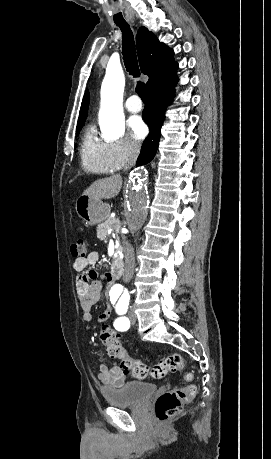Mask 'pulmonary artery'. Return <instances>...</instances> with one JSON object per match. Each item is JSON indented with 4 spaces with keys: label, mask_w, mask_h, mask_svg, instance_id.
I'll list each match as a JSON object with an SVG mask.
<instances>
[{
    "label": "pulmonary artery",
    "mask_w": 271,
    "mask_h": 459,
    "mask_svg": "<svg viewBox=\"0 0 271 459\" xmlns=\"http://www.w3.org/2000/svg\"><path fill=\"white\" fill-rule=\"evenodd\" d=\"M125 107L131 113H139L143 109V104L137 95H133L127 100Z\"/></svg>",
    "instance_id": "pulmonary-artery-1"
}]
</instances>
